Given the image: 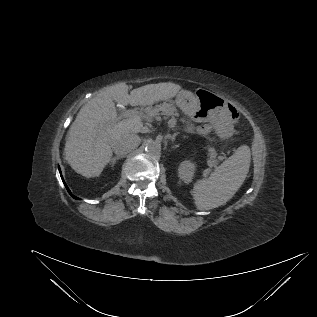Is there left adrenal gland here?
Here are the masks:
<instances>
[{"label":"left adrenal gland","instance_id":"left-adrenal-gland-1","mask_svg":"<svg viewBox=\"0 0 317 317\" xmlns=\"http://www.w3.org/2000/svg\"><path fill=\"white\" fill-rule=\"evenodd\" d=\"M177 135H178V133H175L174 135H172V136L170 137V139H171L172 142L175 140V138H176Z\"/></svg>","mask_w":317,"mask_h":317}]
</instances>
